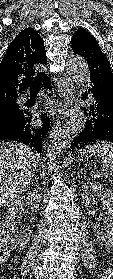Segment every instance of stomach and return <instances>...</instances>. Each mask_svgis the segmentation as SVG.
I'll return each mask as SVG.
<instances>
[{
	"mask_svg": "<svg viewBox=\"0 0 113 279\" xmlns=\"http://www.w3.org/2000/svg\"><path fill=\"white\" fill-rule=\"evenodd\" d=\"M83 158H84V160H88V155L81 154L79 159L83 160Z\"/></svg>",
	"mask_w": 113,
	"mask_h": 279,
	"instance_id": "stomach-1",
	"label": "stomach"
}]
</instances>
